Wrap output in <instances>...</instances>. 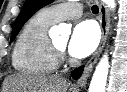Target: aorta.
<instances>
[{
    "instance_id": "1",
    "label": "aorta",
    "mask_w": 127,
    "mask_h": 92,
    "mask_svg": "<svg viewBox=\"0 0 127 92\" xmlns=\"http://www.w3.org/2000/svg\"><path fill=\"white\" fill-rule=\"evenodd\" d=\"M104 2L112 10L116 7L115 0H104ZM52 31L60 34L63 33L69 34L71 29L66 24H59L58 26H54L52 28ZM108 71H109V60L108 56L105 54L95 69V72L93 74L89 86V92H105Z\"/></svg>"
}]
</instances>
